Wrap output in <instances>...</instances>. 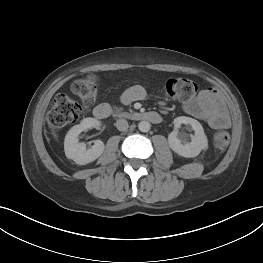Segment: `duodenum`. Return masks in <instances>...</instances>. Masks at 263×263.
Here are the masks:
<instances>
[{
  "mask_svg": "<svg viewBox=\"0 0 263 263\" xmlns=\"http://www.w3.org/2000/svg\"><path fill=\"white\" fill-rule=\"evenodd\" d=\"M113 113L112 109L105 104L98 105L93 110V115L97 119H106ZM119 118L132 119L136 121H149L151 123H160L162 117L159 113L155 111L149 112H137V113H124L119 112L116 114Z\"/></svg>",
  "mask_w": 263,
  "mask_h": 263,
  "instance_id": "duodenum-1",
  "label": "duodenum"
}]
</instances>
